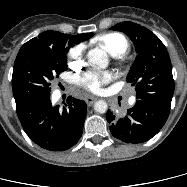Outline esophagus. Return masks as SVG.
I'll return each mask as SVG.
<instances>
[{
  "label": "esophagus",
  "mask_w": 187,
  "mask_h": 187,
  "mask_svg": "<svg viewBox=\"0 0 187 187\" xmlns=\"http://www.w3.org/2000/svg\"><path fill=\"white\" fill-rule=\"evenodd\" d=\"M96 100H97L96 97H88V98L85 99V101H86V103H87L88 106L93 105V103H94Z\"/></svg>",
  "instance_id": "1"
}]
</instances>
